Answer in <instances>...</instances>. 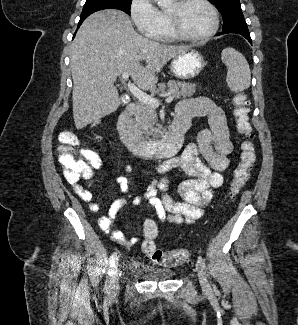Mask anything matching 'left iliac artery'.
Instances as JSON below:
<instances>
[{"mask_svg":"<svg viewBox=\"0 0 298 325\" xmlns=\"http://www.w3.org/2000/svg\"><path fill=\"white\" fill-rule=\"evenodd\" d=\"M198 263L200 264V266L202 267V269L206 271L205 261H204V259L202 258V256H199V257H198Z\"/></svg>","mask_w":298,"mask_h":325,"instance_id":"left-iliac-artery-1","label":"left iliac artery"}]
</instances>
